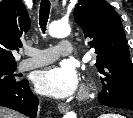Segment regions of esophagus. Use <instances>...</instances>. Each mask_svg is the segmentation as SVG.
Masks as SVG:
<instances>
[{"instance_id": "34e87169", "label": "esophagus", "mask_w": 133, "mask_h": 118, "mask_svg": "<svg viewBox=\"0 0 133 118\" xmlns=\"http://www.w3.org/2000/svg\"><path fill=\"white\" fill-rule=\"evenodd\" d=\"M51 4L53 7L57 6L58 4V0H51ZM70 106L67 105V104H64V103H60L58 104V110L61 112V113H65L69 110Z\"/></svg>"}]
</instances>
